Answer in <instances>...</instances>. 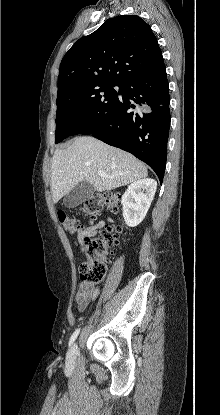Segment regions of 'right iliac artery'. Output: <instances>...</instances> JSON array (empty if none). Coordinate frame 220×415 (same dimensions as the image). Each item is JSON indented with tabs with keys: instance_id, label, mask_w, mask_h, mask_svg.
Returning <instances> with one entry per match:
<instances>
[{
	"instance_id": "right-iliac-artery-1",
	"label": "right iliac artery",
	"mask_w": 220,
	"mask_h": 415,
	"mask_svg": "<svg viewBox=\"0 0 220 415\" xmlns=\"http://www.w3.org/2000/svg\"><path fill=\"white\" fill-rule=\"evenodd\" d=\"M80 332V328L75 330V332L72 334L70 341H69V346L72 345V343L75 341V339L77 338L78 334Z\"/></svg>"
}]
</instances>
